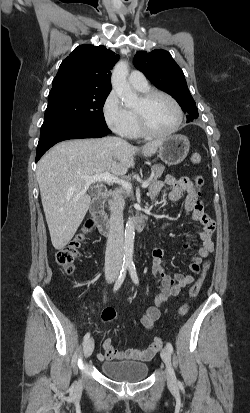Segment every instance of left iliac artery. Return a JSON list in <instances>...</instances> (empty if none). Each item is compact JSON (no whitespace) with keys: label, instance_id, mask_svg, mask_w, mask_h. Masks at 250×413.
<instances>
[{"label":"left iliac artery","instance_id":"1","mask_svg":"<svg viewBox=\"0 0 250 413\" xmlns=\"http://www.w3.org/2000/svg\"><path fill=\"white\" fill-rule=\"evenodd\" d=\"M129 272H130V275H131V278H132L133 282H134L136 285H138V284H139V279H138V276H137V273H136L135 265H134L133 263H132V264H129ZM166 348L168 349V351H169L170 353L173 352V347H172L171 343L168 342V343L166 344Z\"/></svg>","mask_w":250,"mask_h":413}]
</instances>
